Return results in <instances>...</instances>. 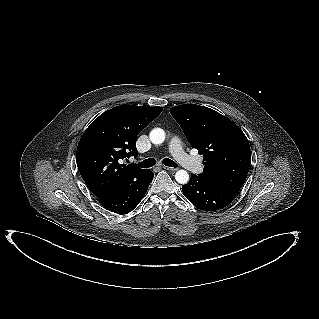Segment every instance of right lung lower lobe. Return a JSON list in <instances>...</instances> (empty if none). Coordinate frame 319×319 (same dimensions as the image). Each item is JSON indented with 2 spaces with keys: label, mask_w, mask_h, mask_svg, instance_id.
<instances>
[{
  "label": "right lung lower lobe",
  "mask_w": 319,
  "mask_h": 319,
  "mask_svg": "<svg viewBox=\"0 0 319 319\" xmlns=\"http://www.w3.org/2000/svg\"><path fill=\"white\" fill-rule=\"evenodd\" d=\"M154 174L146 169L100 196L99 202L117 214L131 212L144 197Z\"/></svg>",
  "instance_id": "98d812e1"
}]
</instances>
